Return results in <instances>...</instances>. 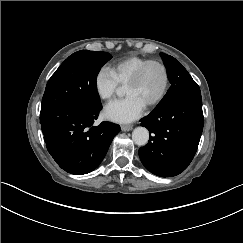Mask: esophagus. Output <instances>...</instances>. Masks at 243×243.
Returning a JSON list of instances; mask_svg holds the SVG:
<instances>
[{
    "mask_svg": "<svg viewBox=\"0 0 243 243\" xmlns=\"http://www.w3.org/2000/svg\"><path fill=\"white\" fill-rule=\"evenodd\" d=\"M121 130L123 132H128V131L132 130V126L131 125H121Z\"/></svg>",
    "mask_w": 243,
    "mask_h": 243,
    "instance_id": "obj_1",
    "label": "esophagus"
}]
</instances>
